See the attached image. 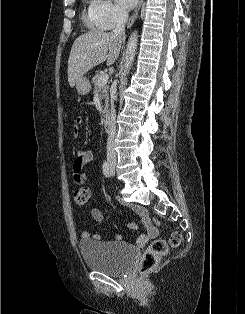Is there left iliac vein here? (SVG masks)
Here are the masks:
<instances>
[{
    "instance_id": "left-iliac-vein-1",
    "label": "left iliac vein",
    "mask_w": 245,
    "mask_h": 314,
    "mask_svg": "<svg viewBox=\"0 0 245 314\" xmlns=\"http://www.w3.org/2000/svg\"><path fill=\"white\" fill-rule=\"evenodd\" d=\"M111 174H112V175H114V174H115V171H114L113 169L111 170Z\"/></svg>"
}]
</instances>
